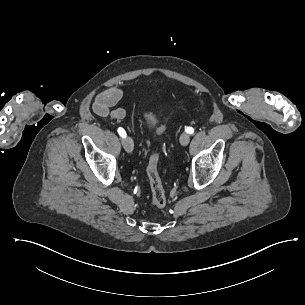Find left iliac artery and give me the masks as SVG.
<instances>
[{
  "mask_svg": "<svg viewBox=\"0 0 305 305\" xmlns=\"http://www.w3.org/2000/svg\"><path fill=\"white\" fill-rule=\"evenodd\" d=\"M185 131H186L187 133H189V134L194 133V129H193L192 127H187V128L185 129Z\"/></svg>",
  "mask_w": 305,
  "mask_h": 305,
  "instance_id": "1",
  "label": "left iliac artery"
}]
</instances>
